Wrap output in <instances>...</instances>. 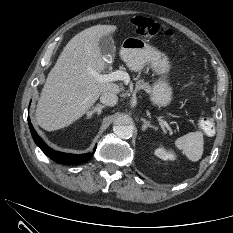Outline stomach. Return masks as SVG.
Segmentation results:
<instances>
[{
	"label": "stomach",
	"mask_w": 233,
	"mask_h": 233,
	"mask_svg": "<svg viewBox=\"0 0 233 233\" xmlns=\"http://www.w3.org/2000/svg\"><path fill=\"white\" fill-rule=\"evenodd\" d=\"M120 56L127 67L133 71L142 70L145 65L149 64L156 73L161 75L153 85L152 102L159 106H166L171 102L172 87L167 81L170 62L164 53L140 38L128 37L121 45Z\"/></svg>",
	"instance_id": "0dacf381"
}]
</instances>
